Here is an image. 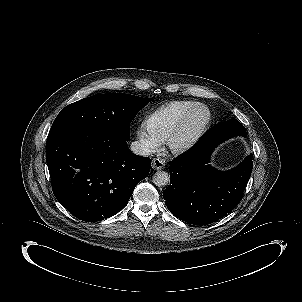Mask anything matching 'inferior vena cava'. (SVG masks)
I'll return each instance as SVG.
<instances>
[{"mask_svg": "<svg viewBox=\"0 0 302 302\" xmlns=\"http://www.w3.org/2000/svg\"><path fill=\"white\" fill-rule=\"evenodd\" d=\"M130 150L140 156H149L151 154V150L144 144L134 141L130 145Z\"/></svg>", "mask_w": 302, "mask_h": 302, "instance_id": "obj_1", "label": "inferior vena cava"}]
</instances>
